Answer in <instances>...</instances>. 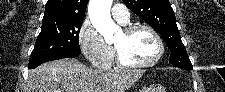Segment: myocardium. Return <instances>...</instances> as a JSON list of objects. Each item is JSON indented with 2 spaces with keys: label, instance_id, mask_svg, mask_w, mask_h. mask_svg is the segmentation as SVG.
I'll use <instances>...</instances> for the list:
<instances>
[{
  "label": "myocardium",
  "instance_id": "myocardium-1",
  "mask_svg": "<svg viewBox=\"0 0 225 92\" xmlns=\"http://www.w3.org/2000/svg\"><path fill=\"white\" fill-rule=\"evenodd\" d=\"M138 30H147L154 37L157 44V48H158L157 54L152 60L146 63H132V62L126 61L124 57L122 56L121 52L119 51V49L115 46L117 64L123 68L146 69L157 64L164 55L165 48H164L163 40L161 36L159 35V33L152 26L144 24V23H136V24L127 26L124 29V32L126 34H132Z\"/></svg>",
  "mask_w": 225,
  "mask_h": 92
}]
</instances>
